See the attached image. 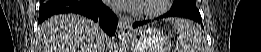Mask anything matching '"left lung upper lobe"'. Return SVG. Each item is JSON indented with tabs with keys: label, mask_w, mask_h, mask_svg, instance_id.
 I'll return each instance as SVG.
<instances>
[{
	"label": "left lung upper lobe",
	"mask_w": 261,
	"mask_h": 52,
	"mask_svg": "<svg viewBox=\"0 0 261 52\" xmlns=\"http://www.w3.org/2000/svg\"><path fill=\"white\" fill-rule=\"evenodd\" d=\"M174 11H184L198 19H201V15L196 7V0H174Z\"/></svg>",
	"instance_id": "5c2ea615"
}]
</instances>
